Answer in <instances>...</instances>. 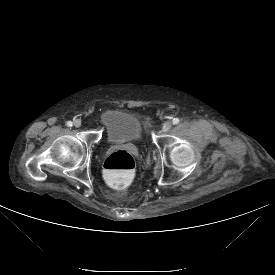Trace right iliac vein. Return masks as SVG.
<instances>
[{"label": "right iliac vein", "instance_id": "right-iliac-vein-1", "mask_svg": "<svg viewBox=\"0 0 275 275\" xmlns=\"http://www.w3.org/2000/svg\"><path fill=\"white\" fill-rule=\"evenodd\" d=\"M74 126H75L76 128H79V127L81 126V121H80L79 119H76V120L74 121Z\"/></svg>", "mask_w": 275, "mask_h": 275}]
</instances>
